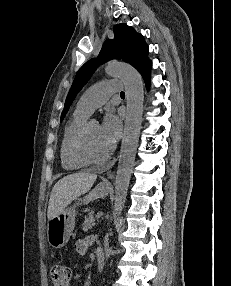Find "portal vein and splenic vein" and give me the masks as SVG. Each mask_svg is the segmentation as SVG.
<instances>
[{
	"label": "portal vein and splenic vein",
	"mask_w": 231,
	"mask_h": 286,
	"mask_svg": "<svg viewBox=\"0 0 231 286\" xmlns=\"http://www.w3.org/2000/svg\"><path fill=\"white\" fill-rule=\"evenodd\" d=\"M102 215H103V212L100 211V212L97 213L96 218L99 219V218L102 217Z\"/></svg>",
	"instance_id": "portal-vein-and-splenic-vein-1"
}]
</instances>
